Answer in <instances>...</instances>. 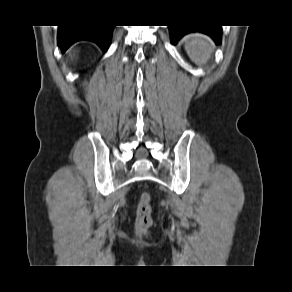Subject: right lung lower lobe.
<instances>
[{
	"mask_svg": "<svg viewBox=\"0 0 292 292\" xmlns=\"http://www.w3.org/2000/svg\"><path fill=\"white\" fill-rule=\"evenodd\" d=\"M113 27L111 25L60 26L58 44L61 52L81 40L95 42L106 52L110 45Z\"/></svg>",
	"mask_w": 292,
	"mask_h": 292,
	"instance_id": "right-lung-lower-lobe-1",
	"label": "right lung lower lobe"
}]
</instances>
